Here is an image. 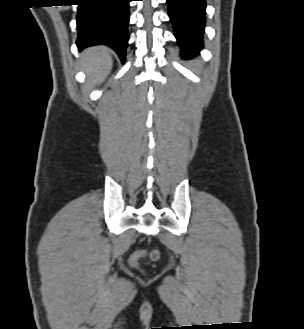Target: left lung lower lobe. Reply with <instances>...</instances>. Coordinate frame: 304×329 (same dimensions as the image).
Wrapping results in <instances>:
<instances>
[{
	"mask_svg": "<svg viewBox=\"0 0 304 329\" xmlns=\"http://www.w3.org/2000/svg\"><path fill=\"white\" fill-rule=\"evenodd\" d=\"M167 4L182 55L198 54L203 48L205 0H167Z\"/></svg>",
	"mask_w": 304,
	"mask_h": 329,
	"instance_id": "1",
	"label": "left lung lower lobe"
}]
</instances>
